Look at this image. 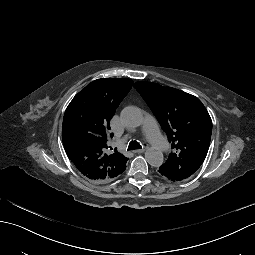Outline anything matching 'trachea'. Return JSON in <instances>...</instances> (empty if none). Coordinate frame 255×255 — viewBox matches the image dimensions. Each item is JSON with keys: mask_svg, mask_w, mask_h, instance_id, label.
Returning <instances> with one entry per match:
<instances>
[{"mask_svg": "<svg viewBox=\"0 0 255 255\" xmlns=\"http://www.w3.org/2000/svg\"><path fill=\"white\" fill-rule=\"evenodd\" d=\"M135 149H141V145L137 141H130L128 150H135Z\"/></svg>", "mask_w": 255, "mask_h": 255, "instance_id": "trachea-1", "label": "trachea"}]
</instances>
